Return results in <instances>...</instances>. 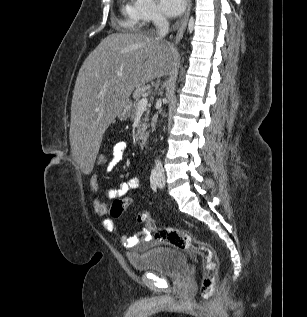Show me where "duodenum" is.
Instances as JSON below:
<instances>
[{
  "label": "duodenum",
  "mask_w": 307,
  "mask_h": 317,
  "mask_svg": "<svg viewBox=\"0 0 307 317\" xmlns=\"http://www.w3.org/2000/svg\"><path fill=\"white\" fill-rule=\"evenodd\" d=\"M138 139H139L141 145L147 144V140H148L147 135H140Z\"/></svg>",
  "instance_id": "duodenum-1"
}]
</instances>
